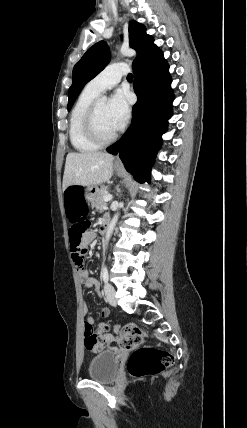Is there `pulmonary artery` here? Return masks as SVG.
<instances>
[{
  "mask_svg": "<svg viewBox=\"0 0 247 428\" xmlns=\"http://www.w3.org/2000/svg\"><path fill=\"white\" fill-rule=\"evenodd\" d=\"M128 72L129 67L127 64L117 63L110 65L94 77L87 84V87L100 94L115 86L120 81L121 77L127 75Z\"/></svg>",
  "mask_w": 247,
  "mask_h": 428,
  "instance_id": "obj_1",
  "label": "pulmonary artery"
}]
</instances>
